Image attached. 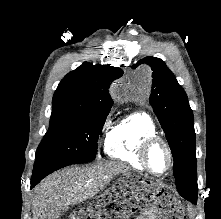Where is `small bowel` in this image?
<instances>
[{"instance_id": "1", "label": "small bowel", "mask_w": 221, "mask_h": 219, "mask_svg": "<svg viewBox=\"0 0 221 219\" xmlns=\"http://www.w3.org/2000/svg\"><path fill=\"white\" fill-rule=\"evenodd\" d=\"M136 219H156L155 210L153 208L145 209Z\"/></svg>"}]
</instances>
